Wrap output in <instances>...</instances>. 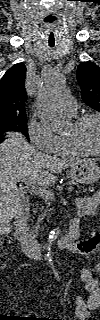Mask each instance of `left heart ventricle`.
I'll return each instance as SVG.
<instances>
[{
  "instance_id": "obj_1",
  "label": "left heart ventricle",
  "mask_w": 100,
  "mask_h": 320,
  "mask_svg": "<svg viewBox=\"0 0 100 320\" xmlns=\"http://www.w3.org/2000/svg\"><path fill=\"white\" fill-rule=\"evenodd\" d=\"M67 137H75L83 146L96 150L100 143L98 123L94 120L85 122L81 127L76 128L73 124L69 127Z\"/></svg>"
}]
</instances>
